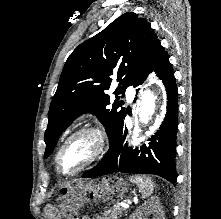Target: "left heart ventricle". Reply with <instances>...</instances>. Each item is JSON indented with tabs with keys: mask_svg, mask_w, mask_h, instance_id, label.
I'll return each mask as SVG.
<instances>
[{
	"mask_svg": "<svg viewBox=\"0 0 221 219\" xmlns=\"http://www.w3.org/2000/svg\"><path fill=\"white\" fill-rule=\"evenodd\" d=\"M94 141L91 136H80L72 140L63 150L59 167L64 173H71L80 168L91 156Z\"/></svg>",
	"mask_w": 221,
	"mask_h": 219,
	"instance_id": "obj_1",
	"label": "left heart ventricle"
}]
</instances>
